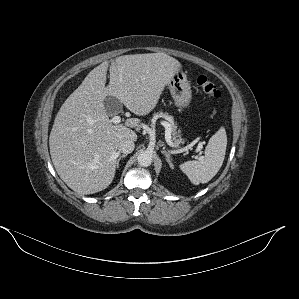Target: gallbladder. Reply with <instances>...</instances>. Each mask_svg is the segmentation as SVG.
Here are the masks:
<instances>
[{"label":"gallbladder","instance_id":"obj_1","mask_svg":"<svg viewBox=\"0 0 299 299\" xmlns=\"http://www.w3.org/2000/svg\"><path fill=\"white\" fill-rule=\"evenodd\" d=\"M104 108L109 115H115L122 111V104L117 98L107 96L104 100Z\"/></svg>","mask_w":299,"mask_h":299}]
</instances>
